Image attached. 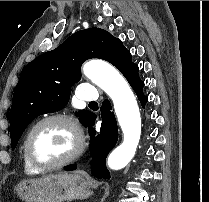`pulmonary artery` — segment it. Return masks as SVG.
Segmentation results:
<instances>
[{
  "label": "pulmonary artery",
  "mask_w": 209,
  "mask_h": 202,
  "mask_svg": "<svg viewBox=\"0 0 209 202\" xmlns=\"http://www.w3.org/2000/svg\"><path fill=\"white\" fill-rule=\"evenodd\" d=\"M79 98L87 102H96L99 99L98 91L89 86H82Z\"/></svg>",
  "instance_id": "obj_1"
}]
</instances>
